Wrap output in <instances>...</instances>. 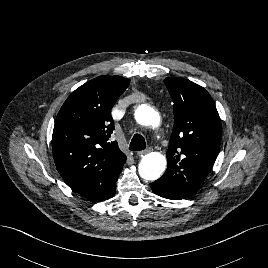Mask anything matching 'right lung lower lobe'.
I'll return each mask as SVG.
<instances>
[{"label":"right lung lower lobe","mask_w":268,"mask_h":268,"mask_svg":"<svg viewBox=\"0 0 268 268\" xmlns=\"http://www.w3.org/2000/svg\"><path fill=\"white\" fill-rule=\"evenodd\" d=\"M115 191H116V187H114V188L111 190L110 194L108 195V197H107L106 199H109V198H111L112 196H114ZM106 199H104V200H106Z\"/></svg>","instance_id":"1"}]
</instances>
